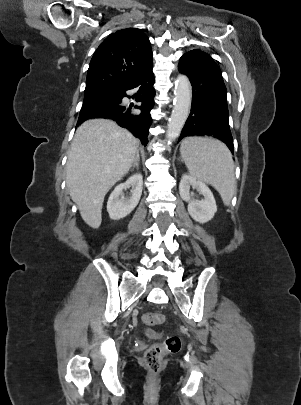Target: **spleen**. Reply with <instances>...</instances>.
<instances>
[{
	"instance_id": "spleen-1",
	"label": "spleen",
	"mask_w": 301,
	"mask_h": 405,
	"mask_svg": "<svg viewBox=\"0 0 301 405\" xmlns=\"http://www.w3.org/2000/svg\"><path fill=\"white\" fill-rule=\"evenodd\" d=\"M189 173L212 185L225 205H229L235 189L234 162L228 148L211 138L188 137L180 147Z\"/></svg>"
}]
</instances>
